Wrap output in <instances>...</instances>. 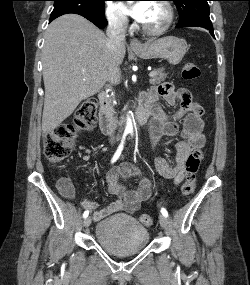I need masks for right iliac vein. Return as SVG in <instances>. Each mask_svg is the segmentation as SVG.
<instances>
[{"instance_id":"63e3f726","label":"right iliac vein","mask_w":250,"mask_h":285,"mask_svg":"<svg viewBox=\"0 0 250 285\" xmlns=\"http://www.w3.org/2000/svg\"><path fill=\"white\" fill-rule=\"evenodd\" d=\"M91 224V217H86L83 221V226L88 227Z\"/></svg>"}]
</instances>
